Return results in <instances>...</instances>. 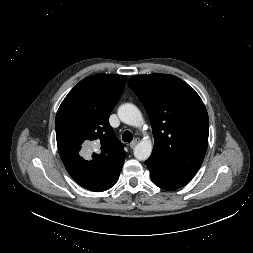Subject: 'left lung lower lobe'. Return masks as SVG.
<instances>
[{"instance_id":"0a47b994","label":"left lung lower lobe","mask_w":253,"mask_h":253,"mask_svg":"<svg viewBox=\"0 0 253 253\" xmlns=\"http://www.w3.org/2000/svg\"><path fill=\"white\" fill-rule=\"evenodd\" d=\"M155 185L165 190H175L185 186L194 177L191 174L171 169L153 158L145 161Z\"/></svg>"}]
</instances>
